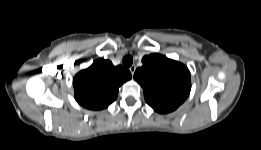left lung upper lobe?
Listing matches in <instances>:
<instances>
[{
  "label": "left lung upper lobe",
  "mask_w": 261,
  "mask_h": 150,
  "mask_svg": "<svg viewBox=\"0 0 261 150\" xmlns=\"http://www.w3.org/2000/svg\"><path fill=\"white\" fill-rule=\"evenodd\" d=\"M142 62L134 79L142 86L145 101L158 113L177 109L190 93L188 68L160 54L144 56Z\"/></svg>",
  "instance_id": "obj_1"
}]
</instances>
